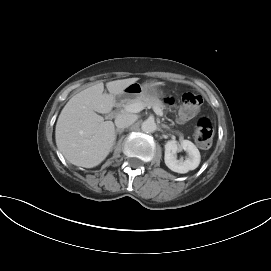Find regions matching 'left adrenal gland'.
Masks as SVG:
<instances>
[{
  "label": "left adrenal gland",
  "instance_id": "left-adrenal-gland-1",
  "mask_svg": "<svg viewBox=\"0 0 271 271\" xmlns=\"http://www.w3.org/2000/svg\"><path fill=\"white\" fill-rule=\"evenodd\" d=\"M162 127H163V128H167V129H170L167 125H164V124H162Z\"/></svg>",
  "mask_w": 271,
  "mask_h": 271
}]
</instances>
